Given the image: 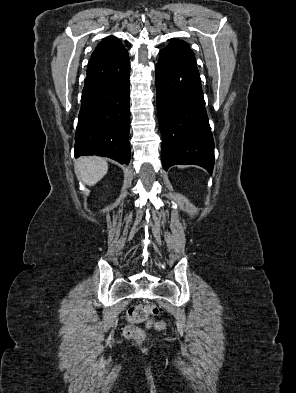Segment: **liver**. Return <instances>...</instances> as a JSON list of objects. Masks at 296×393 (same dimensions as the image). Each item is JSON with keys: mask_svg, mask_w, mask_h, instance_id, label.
<instances>
[{"mask_svg": "<svg viewBox=\"0 0 296 393\" xmlns=\"http://www.w3.org/2000/svg\"><path fill=\"white\" fill-rule=\"evenodd\" d=\"M106 160L99 157H81L75 162V173L78 179L89 186L95 185L107 173Z\"/></svg>", "mask_w": 296, "mask_h": 393, "instance_id": "liver-1", "label": "liver"}]
</instances>
